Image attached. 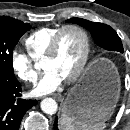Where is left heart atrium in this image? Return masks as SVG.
Instances as JSON below:
<instances>
[{
  "instance_id": "1",
  "label": "left heart atrium",
  "mask_w": 130,
  "mask_h": 130,
  "mask_svg": "<svg viewBox=\"0 0 130 130\" xmlns=\"http://www.w3.org/2000/svg\"><path fill=\"white\" fill-rule=\"evenodd\" d=\"M63 77L54 70H48L35 85L31 94L33 96H43L56 91L63 82Z\"/></svg>"
}]
</instances>
